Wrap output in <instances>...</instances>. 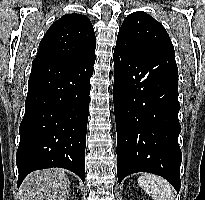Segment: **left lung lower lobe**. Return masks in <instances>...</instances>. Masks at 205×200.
<instances>
[{"mask_svg": "<svg viewBox=\"0 0 205 200\" xmlns=\"http://www.w3.org/2000/svg\"><path fill=\"white\" fill-rule=\"evenodd\" d=\"M113 61L118 182L135 172H149L179 191L182 153L175 52L133 54L115 47Z\"/></svg>", "mask_w": 205, "mask_h": 200, "instance_id": "1", "label": "left lung lower lobe"}]
</instances>
